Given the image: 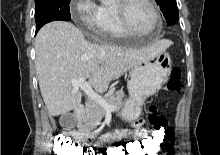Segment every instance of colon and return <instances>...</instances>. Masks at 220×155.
<instances>
[{"label": "colon", "instance_id": "5ec220e1", "mask_svg": "<svg viewBox=\"0 0 220 155\" xmlns=\"http://www.w3.org/2000/svg\"><path fill=\"white\" fill-rule=\"evenodd\" d=\"M168 91L179 92L181 90V71L175 67L171 70L166 84ZM149 125L146 130L149 135L144 139H130L122 147H105V145H86L63 137L55 139V151L58 155H160L163 144H169L168 123L155 106H151L149 113ZM61 139V140H60Z\"/></svg>", "mask_w": 220, "mask_h": 155}]
</instances>
